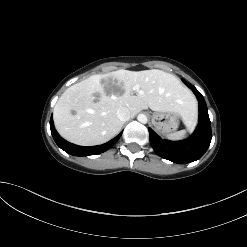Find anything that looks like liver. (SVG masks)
Returning <instances> with one entry per match:
<instances>
[{
  "label": "liver",
  "mask_w": 247,
  "mask_h": 247,
  "mask_svg": "<svg viewBox=\"0 0 247 247\" xmlns=\"http://www.w3.org/2000/svg\"><path fill=\"white\" fill-rule=\"evenodd\" d=\"M135 86L138 91L133 90ZM120 107H127L131 116L150 108L177 113L184 123L192 122V127L196 122V101L175 75L158 69H120L70 86L54 107V124L69 142L100 145L120 132L123 122L116 115Z\"/></svg>",
  "instance_id": "6515ba94"
}]
</instances>
